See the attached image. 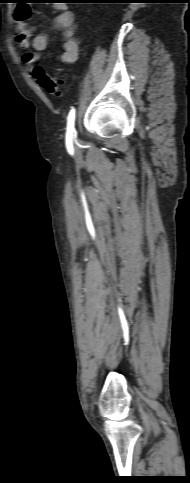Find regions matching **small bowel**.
Returning a JSON list of instances; mask_svg holds the SVG:
<instances>
[{
  "label": "small bowel",
  "instance_id": "c3829d8e",
  "mask_svg": "<svg viewBox=\"0 0 190 483\" xmlns=\"http://www.w3.org/2000/svg\"><path fill=\"white\" fill-rule=\"evenodd\" d=\"M23 12L25 17L18 19V13ZM31 12L30 6L19 4L15 9V18L17 30L15 34V43L21 51L22 60L26 66L32 67L41 60L40 52L45 51L48 43V36L44 33L32 35L33 29L26 23V19ZM54 25L62 31V48L58 55L60 62L64 64H72L78 58V43L75 39L76 25L74 22V14L68 9H61L54 19ZM30 46L34 51L30 50Z\"/></svg>",
  "mask_w": 190,
  "mask_h": 483
}]
</instances>
